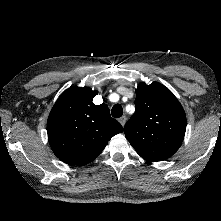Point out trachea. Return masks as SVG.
Segmentation results:
<instances>
[{
  "label": "trachea",
  "instance_id": "3493384b",
  "mask_svg": "<svg viewBox=\"0 0 221 221\" xmlns=\"http://www.w3.org/2000/svg\"><path fill=\"white\" fill-rule=\"evenodd\" d=\"M111 114L114 118H119L123 115V108L120 104H115L112 107Z\"/></svg>",
  "mask_w": 221,
  "mask_h": 221
}]
</instances>
